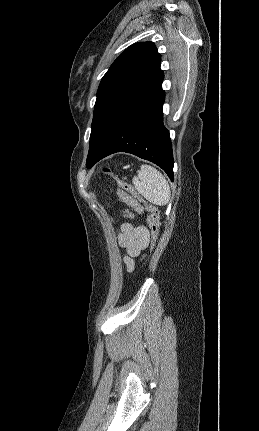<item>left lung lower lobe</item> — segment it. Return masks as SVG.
<instances>
[{"mask_svg":"<svg viewBox=\"0 0 259 431\" xmlns=\"http://www.w3.org/2000/svg\"><path fill=\"white\" fill-rule=\"evenodd\" d=\"M164 100L161 82L117 123L86 166L91 168L110 154L127 152L157 164L173 181L172 145L163 124Z\"/></svg>","mask_w":259,"mask_h":431,"instance_id":"0a47b994","label":"left lung lower lobe"}]
</instances>
